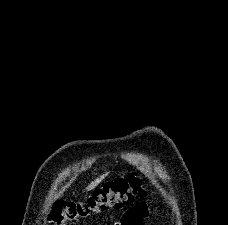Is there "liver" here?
I'll use <instances>...</instances> for the list:
<instances>
[{
    "mask_svg": "<svg viewBox=\"0 0 228 225\" xmlns=\"http://www.w3.org/2000/svg\"><path fill=\"white\" fill-rule=\"evenodd\" d=\"M105 175H101L100 179H95V181H92L88 187H86V191H92V189H95L99 183H101L102 179H104Z\"/></svg>",
    "mask_w": 228,
    "mask_h": 225,
    "instance_id": "1",
    "label": "liver"
}]
</instances>
